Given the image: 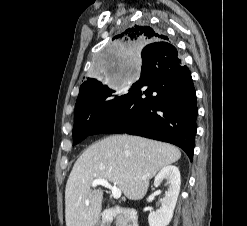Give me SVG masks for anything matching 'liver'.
I'll list each match as a JSON object with an SVG mask.
<instances>
[{"label":"liver","instance_id":"1","mask_svg":"<svg viewBox=\"0 0 247 226\" xmlns=\"http://www.w3.org/2000/svg\"><path fill=\"white\" fill-rule=\"evenodd\" d=\"M180 157L177 147L138 136L112 135L93 143L77 159L67 180L66 226H96L103 191L91 189L95 179L109 181L130 200H140L150 179Z\"/></svg>","mask_w":247,"mask_h":226}]
</instances>
